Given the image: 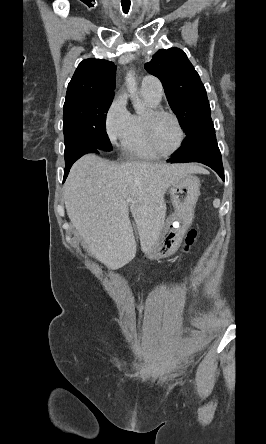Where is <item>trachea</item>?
<instances>
[{
	"instance_id": "1",
	"label": "trachea",
	"mask_w": 266,
	"mask_h": 444,
	"mask_svg": "<svg viewBox=\"0 0 266 444\" xmlns=\"http://www.w3.org/2000/svg\"><path fill=\"white\" fill-rule=\"evenodd\" d=\"M121 5H122V7H123V12H124L125 14H127L128 11H129V8H130V2H128V3H121Z\"/></svg>"
}]
</instances>
